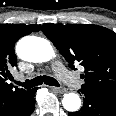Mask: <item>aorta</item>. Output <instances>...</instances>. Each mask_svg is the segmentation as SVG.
<instances>
[{"mask_svg": "<svg viewBox=\"0 0 116 116\" xmlns=\"http://www.w3.org/2000/svg\"><path fill=\"white\" fill-rule=\"evenodd\" d=\"M16 52L22 60L35 63L49 61L55 55L51 43L36 36L21 38L16 45ZM62 105L67 111L75 112L81 106V99L76 93H68L64 95Z\"/></svg>", "mask_w": 116, "mask_h": 116, "instance_id": "obj_1", "label": "aorta"}]
</instances>
